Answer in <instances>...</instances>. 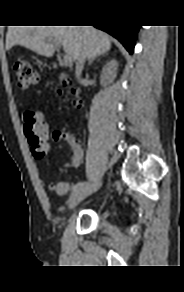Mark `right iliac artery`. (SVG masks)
Wrapping results in <instances>:
<instances>
[{"label":"right iliac artery","mask_w":184,"mask_h":292,"mask_svg":"<svg viewBox=\"0 0 184 292\" xmlns=\"http://www.w3.org/2000/svg\"><path fill=\"white\" fill-rule=\"evenodd\" d=\"M88 186H90V184H89V183H86V182L78 183V184L73 188V192L78 191V190L83 189V188L88 187Z\"/></svg>","instance_id":"right-iliac-artery-1"}]
</instances>
